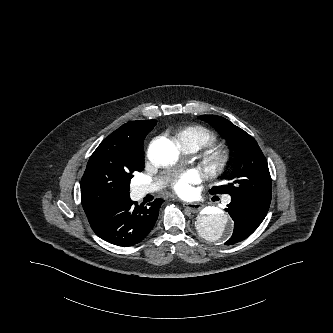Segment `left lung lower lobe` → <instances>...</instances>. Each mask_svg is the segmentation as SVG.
Instances as JSON below:
<instances>
[{
	"mask_svg": "<svg viewBox=\"0 0 333 333\" xmlns=\"http://www.w3.org/2000/svg\"><path fill=\"white\" fill-rule=\"evenodd\" d=\"M270 205L231 198L225 209L234 221V231L226 245L235 244L250 236L264 220Z\"/></svg>",
	"mask_w": 333,
	"mask_h": 333,
	"instance_id": "left-lung-lower-lobe-1",
	"label": "left lung lower lobe"
}]
</instances>
